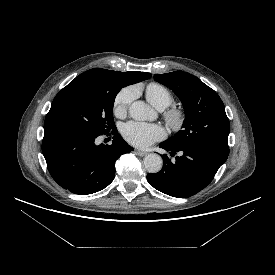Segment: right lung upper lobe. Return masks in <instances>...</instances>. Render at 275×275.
<instances>
[{"mask_svg": "<svg viewBox=\"0 0 275 275\" xmlns=\"http://www.w3.org/2000/svg\"><path fill=\"white\" fill-rule=\"evenodd\" d=\"M150 77L151 74L146 72H118L101 68H95L80 74L72 82L111 80L118 83L120 86L124 87L130 84H134L149 79Z\"/></svg>", "mask_w": 275, "mask_h": 275, "instance_id": "1", "label": "right lung upper lobe"}]
</instances>
